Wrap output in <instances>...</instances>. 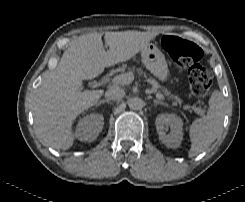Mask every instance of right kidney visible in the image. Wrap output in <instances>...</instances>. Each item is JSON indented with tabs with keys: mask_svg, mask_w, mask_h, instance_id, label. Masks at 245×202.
<instances>
[{
	"mask_svg": "<svg viewBox=\"0 0 245 202\" xmlns=\"http://www.w3.org/2000/svg\"><path fill=\"white\" fill-rule=\"evenodd\" d=\"M104 118L101 114L92 113L84 116L78 122L75 137L80 141H94L102 131Z\"/></svg>",
	"mask_w": 245,
	"mask_h": 202,
	"instance_id": "obj_1",
	"label": "right kidney"
}]
</instances>
